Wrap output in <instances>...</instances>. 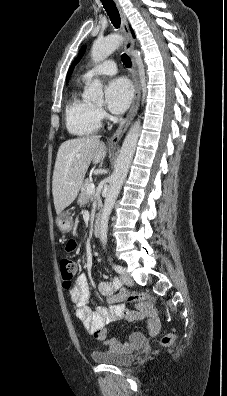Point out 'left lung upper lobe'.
I'll list each match as a JSON object with an SVG mask.
<instances>
[{"mask_svg": "<svg viewBox=\"0 0 227 396\" xmlns=\"http://www.w3.org/2000/svg\"><path fill=\"white\" fill-rule=\"evenodd\" d=\"M84 52H85V46H83V47L81 48L78 57L76 58V60H75V61L72 63V65L70 66V68H69V70H68V73H67L66 83H68V81H69V79H70V76H71V74H72V72H73V69H74L75 65H76V64L79 62V60L82 58Z\"/></svg>", "mask_w": 227, "mask_h": 396, "instance_id": "left-lung-upper-lobe-1", "label": "left lung upper lobe"}]
</instances>
